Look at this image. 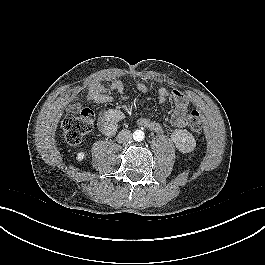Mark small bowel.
<instances>
[{"instance_id":"small-bowel-1","label":"small bowel","mask_w":265,"mask_h":265,"mask_svg":"<svg viewBox=\"0 0 265 265\" xmlns=\"http://www.w3.org/2000/svg\"><path fill=\"white\" fill-rule=\"evenodd\" d=\"M136 88L141 93L148 91V86L142 81L136 82ZM113 94H118L122 99H126L125 86L122 80H113L109 87L98 82H93L88 87L85 98L90 102L101 105L112 102L114 100ZM157 94L159 103L164 104L168 100L173 102L174 108L170 117V124L174 127L171 135L174 145L182 153L192 152L195 148V140L192 134L184 128L186 115L190 107L189 97L178 89L169 91L166 87H160ZM79 109V104L73 103L69 105L71 112H78ZM123 117L124 114L119 109L103 112L99 117L100 132L106 136H112ZM138 124L153 131L158 132L162 130V125L159 122L147 117H140Z\"/></svg>"}]
</instances>
